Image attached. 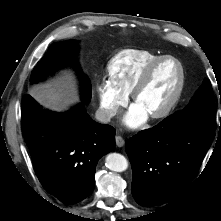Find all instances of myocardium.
Masks as SVG:
<instances>
[{
    "instance_id": "obj_1",
    "label": "myocardium",
    "mask_w": 221,
    "mask_h": 221,
    "mask_svg": "<svg viewBox=\"0 0 221 221\" xmlns=\"http://www.w3.org/2000/svg\"><path fill=\"white\" fill-rule=\"evenodd\" d=\"M167 60H172L178 65L179 82H178L177 88L175 90V93L172 96V98L170 99V101L160 110L150 114V117L153 119L165 118L175 109V107L179 103V101L182 97L184 88H185V84H186V72H185V68H184L183 63L178 58L171 56V55H163V56L156 58L146 67V69L144 70V72L142 73V75L140 76L138 81L136 82V84L133 87L132 92H131L132 100H133V102H136L141 91L147 86L150 78L152 77L154 70L161 63H163L164 61H167Z\"/></svg>"
}]
</instances>
